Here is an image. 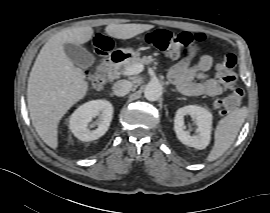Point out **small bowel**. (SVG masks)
Returning a JSON list of instances; mask_svg holds the SVG:
<instances>
[{"label":"small bowel","mask_w":270,"mask_h":213,"mask_svg":"<svg viewBox=\"0 0 270 213\" xmlns=\"http://www.w3.org/2000/svg\"><path fill=\"white\" fill-rule=\"evenodd\" d=\"M212 65L213 59L209 55H203L195 64H191L189 58H184L171 67L169 77L185 95L216 96L223 88L216 79L206 73Z\"/></svg>","instance_id":"small-bowel-1"}]
</instances>
